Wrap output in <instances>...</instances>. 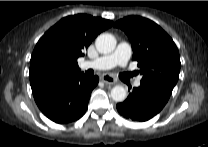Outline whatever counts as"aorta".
<instances>
[{"label": "aorta", "instance_id": "762f6f07", "mask_svg": "<svg viewBox=\"0 0 208 147\" xmlns=\"http://www.w3.org/2000/svg\"><path fill=\"white\" fill-rule=\"evenodd\" d=\"M96 49L99 53L108 54L114 51L116 47V39L112 34L102 33L95 41ZM127 92L122 86H115L111 90V98L116 102H122L126 99Z\"/></svg>", "mask_w": 208, "mask_h": 147}]
</instances>
